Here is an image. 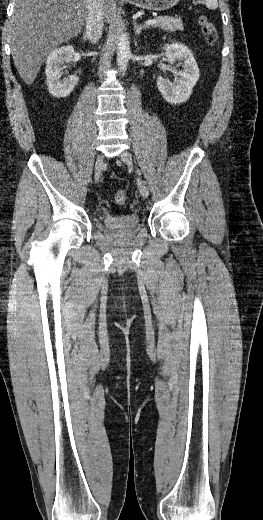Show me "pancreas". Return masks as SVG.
Instances as JSON below:
<instances>
[{
	"label": "pancreas",
	"mask_w": 263,
	"mask_h": 520,
	"mask_svg": "<svg viewBox=\"0 0 263 520\" xmlns=\"http://www.w3.org/2000/svg\"><path fill=\"white\" fill-rule=\"evenodd\" d=\"M155 19L157 20V23L151 24L152 27L161 28L169 32H175L176 30L182 31L184 29L183 22L180 17L164 16L157 17Z\"/></svg>",
	"instance_id": "obj_1"
}]
</instances>
